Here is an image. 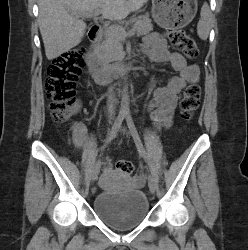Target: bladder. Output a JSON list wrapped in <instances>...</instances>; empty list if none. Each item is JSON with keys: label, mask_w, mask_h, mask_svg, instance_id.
I'll list each match as a JSON object with an SVG mask.
<instances>
[{"label": "bladder", "mask_w": 248, "mask_h": 250, "mask_svg": "<svg viewBox=\"0 0 248 250\" xmlns=\"http://www.w3.org/2000/svg\"><path fill=\"white\" fill-rule=\"evenodd\" d=\"M93 204L96 215L118 230L138 226L149 213V201L138 189L105 190L95 197Z\"/></svg>", "instance_id": "obj_1"}]
</instances>
